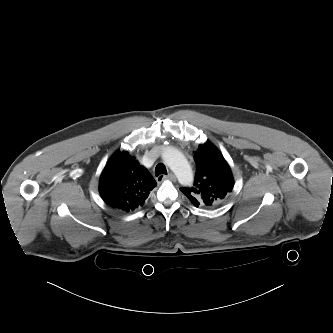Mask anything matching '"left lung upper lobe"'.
<instances>
[{"instance_id":"obj_1","label":"left lung upper lobe","mask_w":333,"mask_h":333,"mask_svg":"<svg viewBox=\"0 0 333 333\" xmlns=\"http://www.w3.org/2000/svg\"><path fill=\"white\" fill-rule=\"evenodd\" d=\"M197 165L194 184L180 190L196 206L214 208L223 205L234 186L231 169L210 142L200 145L194 153Z\"/></svg>"}]
</instances>
